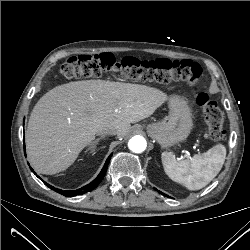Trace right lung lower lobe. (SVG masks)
Wrapping results in <instances>:
<instances>
[{
    "label": "right lung lower lobe",
    "mask_w": 250,
    "mask_h": 250,
    "mask_svg": "<svg viewBox=\"0 0 250 250\" xmlns=\"http://www.w3.org/2000/svg\"><path fill=\"white\" fill-rule=\"evenodd\" d=\"M112 154L107 158L106 162H105V165L103 166L101 172L99 173V175L89 184L83 186L82 188L80 189H77V190H74V191H63V190H60V189H57V188H54L53 186L47 184L46 182H43L49 187L51 188L52 190L60 193V194H63L67 197H73V196H77V195H81V194H84L86 192H89L93 189H95L99 183L102 181V179L104 178L105 176V173H106V170H107V167H108V164H109V161H110V158H111ZM31 170L33 171V169L31 168ZM34 174H36L34 172Z\"/></svg>",
    "instance_id": "98d812e1"
}]
</instances>
